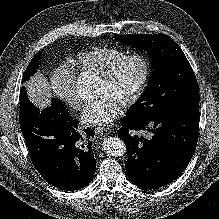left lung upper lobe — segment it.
I'll return each mask as SVG.
<instances>
[{"instance_id": "5c2ea615", "label": "left lung upper lobe", "mask_w": 219, "mask_h": 219, "mask_svg": "<svg viewBox=\"0 0 219 219\" xmlns=\"http://www.w3.org/2000/svg\"><path fill=\"white\" fill-rule=\"evenodd\" d=\"M115 39L148 50L154 70L148 85L126 117L160 118L174 112L198 107L196 77L179 45L166 34L114 35Z\"/></svg>"}]
</instances>
